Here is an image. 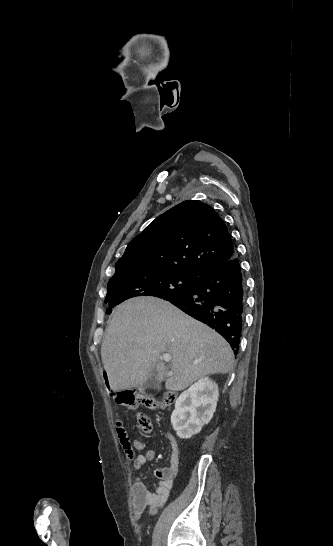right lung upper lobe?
Instances as JSON below:
<instances>
[{
  "label": "right lung upper lobe",
  "instance_id": "1",
  "mask_svg": "<svg viewBox=\"0 0 333 546\" xmlns=\"http://www.w3.org/2000/svg\"><path fill=\"white\" fill-rule=\"evenodd\" d=\"M235 255L228 229L215 210L189 200L157 217L137 235L115 268L199 276Z\"/></svg>",
  "mask_w": 333,
  "mask_h": 546
}]
</instances>
